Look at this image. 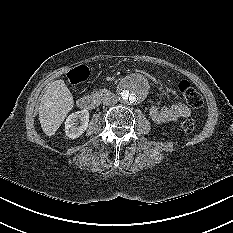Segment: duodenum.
Wrapping results in <instances>:
<instances>
[{"label":"duodenum","instance_id":"410a0bca","mask_svg":"<svg viewBox=\"0 0 233 233\" xmlns=\"http://www.w3.org/2000/svg\"><path fill=\"white\" fill-rule=\"evenodd\" d=\"M112 92L108 90H101L91 95H85L78 99V107L83 110H92L96 108L100 103L106 101V98H111Z\"/></svg>","mask_w":233,"mask_h":233}]
</instances>
